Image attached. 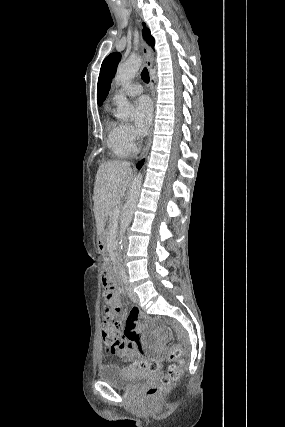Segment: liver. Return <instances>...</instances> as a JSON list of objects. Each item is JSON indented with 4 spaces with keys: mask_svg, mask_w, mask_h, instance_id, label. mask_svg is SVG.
Returning a JSON list of instances; mask_svg holds the SVG:
<instances>
[{
    "mask_svg": "<svg viewBox=\"0 0 285 427\" xmlns=\"http://www.w3.org/2000/svg\"><path fill=\"white\" fill-rule=\"evenodd\" d=\"M131 178L132 169L129 162L111 161L99 166L93 196L98 234L104 231L108 216L120 203Z\"/></svg>",
    "mask_w": 285,
    "mask_h": 427,
    "instance_id": "6515ba94",
    "label": "liver"
}]
</instances>
